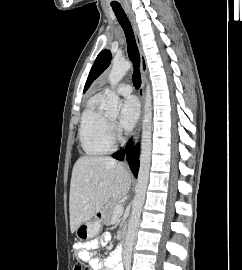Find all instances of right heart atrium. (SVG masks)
I'll return each mask as SVG.
<instances>
[{
	"mask_svg": "<svg viewBox=\"0 0 242 270\" xmlns=\"http://www.w3.org/2000/svg\"><path fill=\"white\" fill-rule=\"evenodd\" d=\"M110 128H111L112 134L114 136H118L119 130H118L117 126L114 123L110 124Z\"/></svg>",
	"mask_w": 242,
	"mask_h": 270,
	"instance_id": "d8ad5b80",
	"label": "right heart atrium"
}]
</instances>
